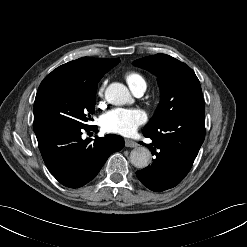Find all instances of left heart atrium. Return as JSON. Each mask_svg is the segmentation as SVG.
<instances>
[{
	"mask_svg": "<svg viewBox=\"0 0 247 247\" xmlns=\"http://www.w3.org/2000/svg\"><path fill=\"white\" fill-rule=\"evenodd\" d=\"M146 121V114L140 109H113L101 118V127L111 133L131 135Z\"/></svg>",
	"mask_w": 247,
	"mask_h": 247,
	"instance_id": "39dd6f15",
	"label": "left heart atrium"
}]
</instances>
